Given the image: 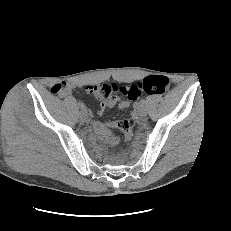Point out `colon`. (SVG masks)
<instances>
[{
  "label": "colon",
  "instance_id": "1",
  "mask_svg": "<svg viewBox=\"0 0 231 231\" xmlns=\"http://www.w3.org/2000/svg\"><path fill=\"white\" fill-rule=\"evenodd\" d=\"M170 87V81L165 76L152 75L144 78L141 81L133 83L131 85H104L102 92L104 97L110 96L114 92H119L130 100H135L143 93L146 94H164ZM66 89L65 84H56L52 87V92L55 94L63 93ZM132 125L133 122L130 119L119 121L117 127L121 130L125 142H129L132 139Z\"/></svg>",
  "mask_w": 231,
  "mask_h": 231
}]
</instances>
